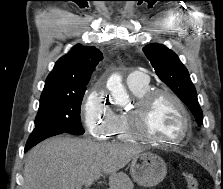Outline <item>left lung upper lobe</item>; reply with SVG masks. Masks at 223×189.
<instances>
[{
	"instance_id": "5c2ea615",
	"label": "left lung upper lobe",
	"mask_w": 223,
	"mask_h": 189,
	"mask_svg": "<svg viewBox=\"0 0 223 189\" xmlns=\"http://www.w3.org/2000/svg\"><path fill=\"white\" fill-rule=\"evenodd\" d=\"M158 77L189 107L198 123L203 122L196 89L177 55L162 44L143 48Z\"/></svg>"
}]
</instances>
